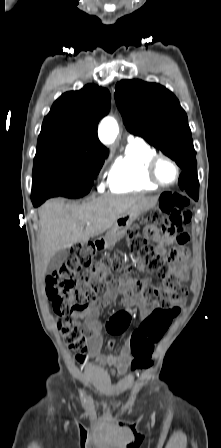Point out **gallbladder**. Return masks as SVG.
<instances>
[{"mask_svg":"<svg viewBox=\"0 0 221 448\" xmlns=\"http://www.w3.org/2000/svg\"><path fill=\"white\" fill-rule=\"evenodd\" d=\"M68 250L67 249H61L59 250L49 261L47 265V271L53 272L54 270H57L60 265L67 259L68 257Z\"/></svg>","mask_w":221,"mask_h":448,"instance_id":"gallbladder-1","label":"gallbladder"}]
</instances>
